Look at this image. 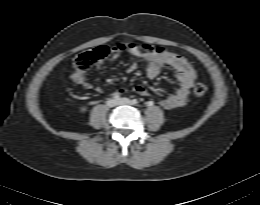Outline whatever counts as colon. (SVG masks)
I'll list each match as a JSON object with an SVG mask.
<instances>
[{
    "label": "colon",
    "instance_id": "1",
    "mask_svg": "<svg viewBox=\"0 0 260 205\" xmlns=\"http://www.w3.org/2000/svg\"><path fill=\"white\" fill-rule=\"evenodd\" d=\"M141 51L153 52L156 54H163L166 50L163 47H155L149 44L137 45ZM108 54V49L105 46H98L92 50L79 54L74 60V66L79 71H86L95 65L97 62L103 60ZM207 86L204 83H195L192 87V92L197 97H202L207 93Z\"/></svg>",
    "mask_w": 260,
    "mask_h": 205
}]
</instances>
